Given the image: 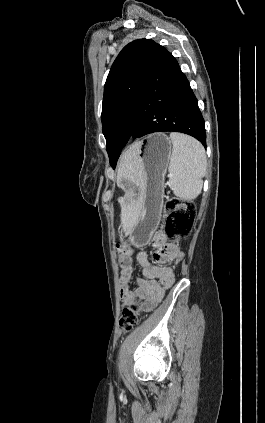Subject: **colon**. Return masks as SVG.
<instances>
[{
	"instance_id": "obj_1",
	"label": "colon",
	"mask_w": 265,
	"mask_h": 423,
	"mask_svg": "<svg viewBox=\"0 0 265 423\" xmlns=\"http://www.w3.org/2000/svg\"><path fill=\"white\" fill-rule=\"evenodd\" d=\"M166 219L164 232L168 240L177 242L192 231L196 217L193 204L179 198H170L165 203ZM130 247L127 244L118 246L119 257L124 260L128 257ZM139 323V307L134 304L123 309L119 324L125 331L133 330Z\"/></svg>"
}]
</instances>
